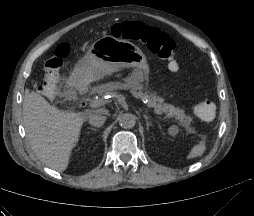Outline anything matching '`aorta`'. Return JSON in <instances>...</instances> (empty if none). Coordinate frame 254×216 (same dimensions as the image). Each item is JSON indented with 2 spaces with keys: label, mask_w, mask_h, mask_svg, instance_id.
Returning a JSON list of instances; mask_svg holds the SVG:
<instances>
[{
  "label": "aorta",
  "mask_w": 254,
  "mask_h": 216,
  "mask_svg": "<svg viewBox=\"0 0 254 216\" xmlns=\"http://www.w3.org/2000/svg\"><path fill=\"white\" fill-rule=\"evenodd\" d=\"M119 125L124 129H130L136 124V116L131 113H120L118 115Z\"/></svg>",
  "instance_id": "obj_1"
}]
</instances>
